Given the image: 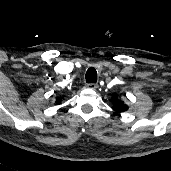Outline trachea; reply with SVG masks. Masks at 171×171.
<instances>
[{
	"label": "trachea",
	"instance_id": "1",
	"mask_svg": "<svg viewBox=\"0 0 171 171\" xmlns=\"http://www.w3.org/2000/svg\"><path fill=\"white\" fill-rule=\"evenodd\" d=\"M85 78L86 83H96L97 71L93 67H90L86 72Z\"/></svg>",
	"mask_w": 171,
	"mask_h": 171
}]
</instances>
